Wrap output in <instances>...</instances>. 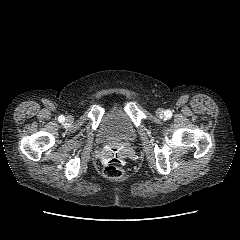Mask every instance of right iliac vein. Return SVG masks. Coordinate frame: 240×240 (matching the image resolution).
Instances as JSON below:
<instances>
[{"label": "right iliac vein", "instance_id": "63e3f726", "mask_svg": "<svg viewBox=\"0 0 240 240\" xmlns=\"http://www.w3.org/2000/svg\"><path fill=\"white\" fill-rule=\"evenodd\" d=\"M67 121H71V117H68V118H67Z\"/></svg>", "mask_w": 240, "mask_h": 240}]
</instances>
